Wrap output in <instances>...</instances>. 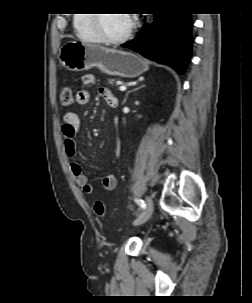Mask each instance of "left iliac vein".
Returning a JSON list of instances; mask_svg holds the SVG:
<instances>
[{"instance_id":"left-iliac-vein-1","label":"left iliac vein","mask_w":252,"mask_h":303,"mask_svg":"<svg viewBox=\"0 0 252 303\" xmlns=\"http://www.w3.org/2000/svg\"><path fill=\"white\" fill-rule=\"evenodd\" d=\"M154 209V204L152 199L147 196L146 197V208L144 211L141 213V215L133 222L135 226L141 225L145 223L149 218L151 217Z\"/></svg>"}]
</instances>
